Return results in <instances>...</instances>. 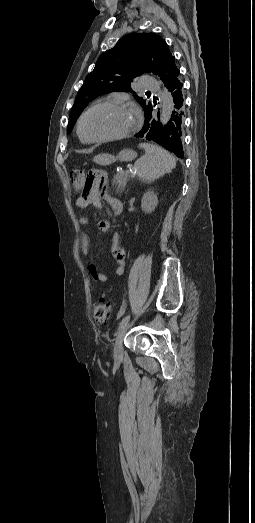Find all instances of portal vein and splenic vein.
Here are the masks:
<instances>
[{"instance_id":"portal-vein-and-splenic-vein-1","label":"portal vein and splenic vein","mask_w":255,"mask_h":523,"mask_svg":"<svg viewBox=\"0 0 255 523\" xmlns=\"http://www.w3.org/2000/svg\"><path fill=\"white\" fill-rule=\"evenodd\" d=\"M129 172H130L129 168H124V173H129Z\"/></svg>"}]
</instances>
